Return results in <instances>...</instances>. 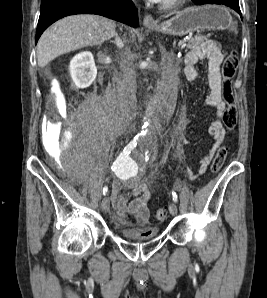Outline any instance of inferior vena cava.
Instances as JSON below:
<instances>
[{
	"label": "inferior vena cava",
	"mask_w": 267,
	"mask_h": 298,
	"mask_svg": "<svg viewBox=\"0 0 267 298\" xmlns=\"http://www.w3.org/2000/svg\"><path fill=\"white\" fill-rule=\"evenodd\" d=\"M134 56L129 54L122 66V81L117 86L116 115L122 123H129L136 112V72L133 66Z\"/></svg>",
	"instance_id": "1"
}]
</instances>
